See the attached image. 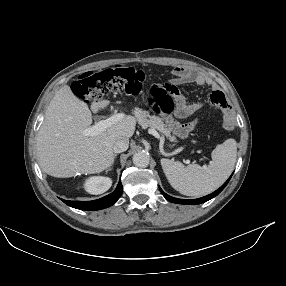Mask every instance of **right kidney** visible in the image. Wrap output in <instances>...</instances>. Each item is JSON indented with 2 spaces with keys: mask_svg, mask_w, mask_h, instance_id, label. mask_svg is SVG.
Listing matches in <instances>:
<instances>
[{
  "mask_svg": "<svg viewBox=\"0 0 286 286\" xmlns=\"http://www.w3.org/2000/svg\"><path fill=\"white\" fill-rule=\"evenodd\" d=\"M111 185V178L94 176L86 180L84 188L88 193L98 195L106 192L111 187Z\"/></svg>",
  "mask_w": 286,
  "mask_h": 286,
  "instance_id": "obj_1",
  "label": "right kidney"
}]
</instances>
